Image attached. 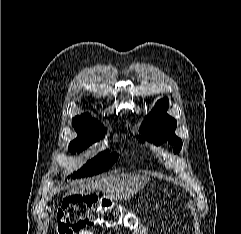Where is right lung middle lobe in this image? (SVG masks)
Masks as SVG:
<instances>
[{"instance_id": "1", "label": "right lung middle lobe", "mask_w": 241, "mask_h": 234, "mask_svg": "<svg viewBox=\"0 0 241 234\" xmlns=\"http://www.w3.org/2000/svg\"><path fill=\"white\" fill-rule=\"evenodd\" d=\"M75 130L78 133V137L69 145V150L72 153L81 152L104 136V132L83 131L76 128ZM118 156L117 153H110L106 150L104 153L102 152L92 160H89L80 170L74 172L71 178L87 177L103 172L116 162Z\"/></svg>"}]
</instances>
